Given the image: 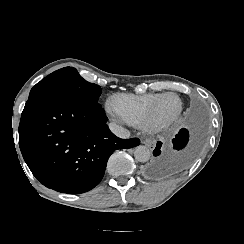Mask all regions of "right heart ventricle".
I'll return each instance as SVG.
<instances>
[{"instance_id": "obj_1", "label": "right heart ventricle", "mask_w": 244, "mask_h": 244, "mask_svg": "<svg viewBox=\"0 0 244 244\" xmlns=\"http://www.w3.org/2000/svg\"><path fill=\"white\" fill-rule=\"evenodd\" d=\"M155 98L156 95H118L113 98L112 107L123 121L134 125H144L152 117Z\"/></svg>"}]
</instances>
